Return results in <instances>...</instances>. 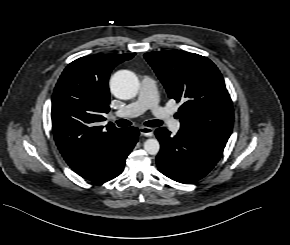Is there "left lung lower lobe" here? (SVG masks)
<instances>
[{
	"instance_id": "1",
	"label": "left lung lower lobe",
	"mask_w": 290,
	"mask_h": 245,
	"mask_svg": "<svg viewBox=\"0 0 290 245\" xmlns=\"http://www.w3.org/2000/svg\"><path fill=\"white\" fill-rule=\"evenodd\" d=\"M155 134L161 144L156 157L159 171L184 184L194 183L207 175L225 147L182 130L174 137L165 128H158Z\"/></svg>"
}]
</instances>
